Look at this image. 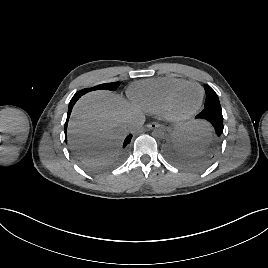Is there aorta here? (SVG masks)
Segmentation results:
<instances>
[{"label":"aorta","mask_w":268,"mask_h":268,"mask_svg":"<svg viewBox=\"0 0 268 268\" xmlns=\"http://www.w3.org/2000/svg\"><path fill=\"white\" fill-rule=\"evenodd\" d=\"M165 135H166V133H165L164 129H162V128H156L152 132V136L155 139H163L165 137Z\"/></svg>","instance_id":"1"}]
</instances>
